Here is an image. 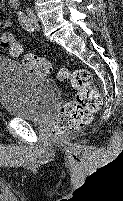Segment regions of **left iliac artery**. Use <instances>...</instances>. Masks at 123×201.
Wrapping results in <instances>:
<instances>
[{
    "instance_id": "1",
    "label": "left iliac artery",
    "mask_w": 123,
    "mask_h": 201,
    "mask_svg": "<svg viewBox=\"0 0 123 201\" xmlns=\"http://www.w3.org/2000/svg\"><path fill=\"white\" fill-rule=\"evenodd\" d=\"M18 16H19V21L21 23V25L27 30V31H33V29L31 28L30 25V21L27 18V16L22 13V12H18Z\"/></svg>"
}]
</instances>
